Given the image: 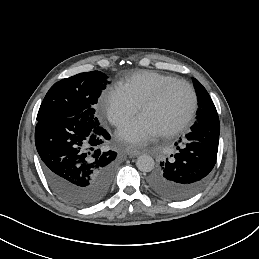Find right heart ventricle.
Instances as JSON below:
<instances>
[{
	"instance_id": "e07e8e85",
	"label": "right heart ventricle",
	"mask_w": 259,
	"mask_h": 259,
	"mask_svg": "<svg viewBox=\"0 0 259 259\" xmlns=\"http://www.w3.org/2000/svg\"><path fill=\"white\" fill-rule=\"evenodd\" d=\"M173 77L168 73L141 71L127 77L119 83L118 87L140 106L156 92L161 83Z\"/></svg>"
}]
</instances>
